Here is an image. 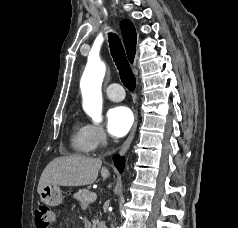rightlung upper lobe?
Segmentation results:
<instances>
[{"instance_id": "1", "label": "right lung upper lobe", "mask_w": 238, "mask_h": 228, "mask_svg": "<svg viewBox=\"0 0 238 228\" xmlns=\"http://www.w3.org/2000/svg\"><path fill=\"white\" fill-rule=\"evenodd\" d=\"M122 36L129 61L132 63L135 56L136 32L133 24L124 19L121 22Z\"/></svg>"}]
</instances>
